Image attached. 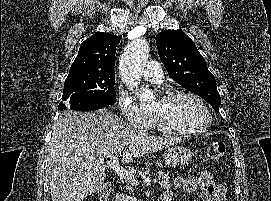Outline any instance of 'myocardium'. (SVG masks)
<instances>
[{"mask_svg": "<svg viewBox=\"0 0 271 201\" xmlns=\"http://www.w3.org/2000/svg\"><path fill=\"white\" fill-rule=\"evenodd\" d=\"M180 96L191 98V99L197 101L204 108L206 115H207L206 123L196 129L182 131V130H178V129L172 127L170 124L165 122L159 115L155 114L154 115L155 121H156V124L159 127V129L165 134H168L171 136H176V137H189L192 135L199 134V133L205 131L206 129H208L213 122V115H212V112H211L208 104L206 103V101L203 98H201L199 95H197L193 92L187 91V90H183V89H172V90L167 91L163 95L162 99L169 100V99H173L175 97H180Z\"/></svg>", "mask_w": 271, "mask_h": 201, "instance_id": "obj_1", "label": "myocardium"}]
</instances>
